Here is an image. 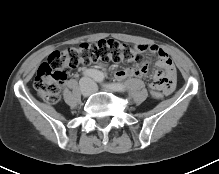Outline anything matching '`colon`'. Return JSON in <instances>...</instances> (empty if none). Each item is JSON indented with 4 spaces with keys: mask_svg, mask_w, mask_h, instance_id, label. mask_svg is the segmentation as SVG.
<instances>
[{
    "mask_svg": "<svg viewBox=\"0 0 219 174\" xmlns=\"http://www.w3.org/2000/svg\"><path fill=\"white\" fill-rule=\"evenodd\" d=\"M108 61L145 65L143 53L131 45L112 39L84 43L77 47L53 52L48 60L40 65L34 79V88L42 99L49 103H56L60 98L67 74L72 69L81 65ZM150 93L154 100L163 98L160 90L153 89Z\"/></svg>",
    "mask_w": 219,
    "mask_h": 174,
    "instance_id": "5ec220e1",
    "label": "colon"
}]
</instances>
